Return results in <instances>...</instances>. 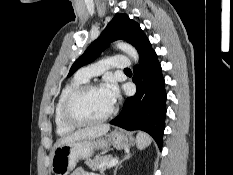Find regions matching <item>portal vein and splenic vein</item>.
Wrapping results in <instances>:
<instances>
[{
  "label": "portal vein and splenic vein",
  "mask_w": 233,
  "mask_h": 175,
  "mask_svg": "<svg viewBox=\"0 0 233 175\" xmlns=\"http://www.w3.org/2000/svg\"><path fill=\"white\" fill-rule=\"evenodd\" d=\"M118 163V159L115 158L113 160H111L110 162L107 163V167H112L115 166Z\"/></svg>",
  "instance_id": "obj_1"
}]
</instances>
